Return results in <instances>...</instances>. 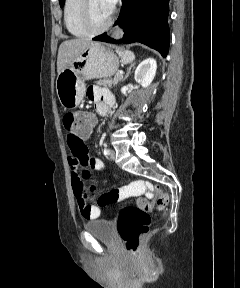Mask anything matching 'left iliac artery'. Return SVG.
<instances>
[{"label": "left iliac artery", "instance_id": "44dca946", "mask_svg": "<svg viewBox=\"0 0 240 288\" xmlns=\"http://www.w3.org/2000/svg\"><path fill=\"white\" fill-rule=\"evenodd\" d=\"M103 152H104L105 155H110V153H111L110 149L107 148V147L104 148Z\"/></svg>", "mask_w": 240, "mask_h": 288}]
</instances>
